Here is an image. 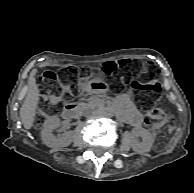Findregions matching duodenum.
I'll list each match as a JSON object with an SVG mask.
<instances>
[{
	"instance_id": "1",
	"label": "duodenum",
	"mask_w": 194,
	"mask_h": 193,
	"mask_svg": "<svg viewBox=\"0 0 194 193\" xmlns=\"http://www.w3.org/2000/svg\"><path fill=\"white\" fill-rule=\"evenodd\" d=\"M79 113V106L76 103L68 104L63 110V117L65 119L71 120L74 119Z\"/></svg>"
}]
</instances>
